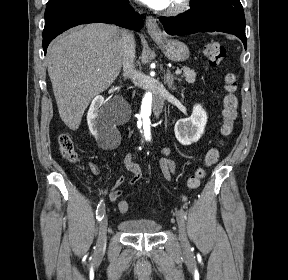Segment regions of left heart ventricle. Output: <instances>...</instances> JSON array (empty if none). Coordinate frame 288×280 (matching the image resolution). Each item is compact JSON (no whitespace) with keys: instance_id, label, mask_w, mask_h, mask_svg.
<instances>
[{"instance_id":"obj_1","label":"left heart ventricle","mask_w":288,"mask_h":280,"mask_svg":"<svg viewBox=\"0 0 288 280\" xmlns=\"http://www.w3.org/2000/svg\"><path fill=\"white\" fill-rule=\"evenodd\" d=\"M176 1H178V0H172L170 6L173 5Z\"/></svg>"}]
</instances>
